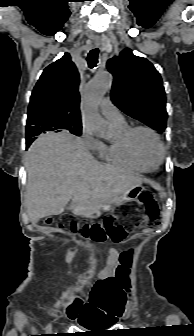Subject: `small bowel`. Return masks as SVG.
<instances>
[{
  "label": "small bowel",
  "instance_id": "1",
  "mask_svg": "<svg viewBox=\"0 0 194 336\" xmlns=\"http://www.w3.org/2000/svg\"><path fill=\"white\" fill-rule=\"evenodd\" d=\"M119 253L111 249L107 255V266L101 271L96 282L91 283L88 293L87 308L84 310L80 324L82 326H111L119 319L120 304L125 292L116 276Z\"/></svg>",
  "mask_w": 194,
  "mask_h": 336
}]
</instances>
